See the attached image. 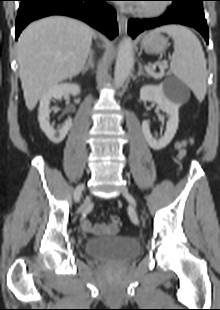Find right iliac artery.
Instances as JSON below:
<instances>
[{
	"label": "right iliac artery",
	"mask_w": 220,
	"mask_h": 310,
	"mask_svg": "<svg viewBox=\"0 0 220 310\" xmlns=\"http://www.w3.org/2000/svg\"><path fill=\"white\" fill-rule=\"evenodd\" d=\"M83 189H84V185L83 184H80V185H78L76 187L75 193H74V197H75L76 201H79L80 196H81V192H82Z\"/></svg>",
	"instance_id": "1"
}]
</instances>
